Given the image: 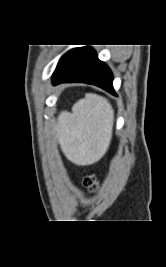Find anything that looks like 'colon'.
Listing matches in <instances>:
<instances>
[{
    "mask_svg": "<svg viewBox=\"0 0 166 267\" xmlns=\"http://www.w3.org/2000/svg\"><path fill=\"white\" fill-rule=\"evenodd\" d=\"M83 185L93 191L96 190L98 187V181L95 175L93 174H88L83 178Z\"/></svg>",
    "mask_w": 166,
    "mask_h": 267,
    "instance_id": "obj_1",
    "label": "colon"
}]
</instances>
